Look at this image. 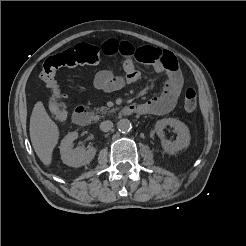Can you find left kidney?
I'll list each match as a JSON object with an SVG mask.
<instances>
[{
  "mask_svg": "<svg viewBox=\"0 0 246 246\" xmlns=\"http://www.w3.org/2000/svg\"><path fill=\"white\" fill-rule=\"evenodd\" d=\"M169 125L173 127L177 133L176 140L169 141L163 139L164 128ZM155 132L162 139L161 145L165 152L173 154L177 151L187 148L190 144V131L189 128L183 122L175 118H165L158 120L155 124Z\"/></svg>",
  "mask_w": 246,
  "mask_h": 246,
  "instance_id": "5707ae66",
  "label": "left kidney"
}]
</instances>
